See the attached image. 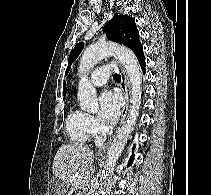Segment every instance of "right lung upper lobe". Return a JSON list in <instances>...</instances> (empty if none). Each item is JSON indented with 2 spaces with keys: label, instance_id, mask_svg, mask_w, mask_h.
Returning <instances> with one entry per match:
<instances>
[{
  "label": "right lung upper lobe",
  "instance_id": "right-lung-upper-lobe-1",
  "mask_svg": "<svg viewBox=\"0 0 211 195\" xmlns=\"http://www.w3.org/2000/svg\"><path fill=\"white\" fill-rule=\"evenodd\" d=\"M63 93H64V95L66 94V83H64V85H63Z\"/></svg>",
  "mask_w": 211,
  "mask_h": 195
}]
</instances>
